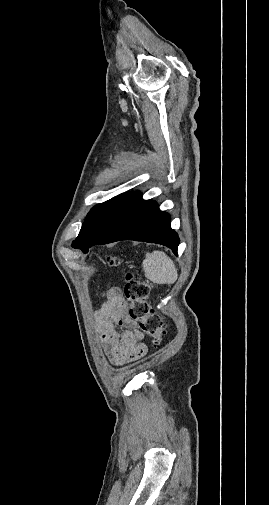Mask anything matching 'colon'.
Returning a JSON list of instances; mask_svg holds the SVG:
<instances>
[{"label":"colon","instance_id":"5ec220e1","mask_svg":"<svg viewBox=\"0 0 269 505\" xmlns=\"http://www.w3.org/2000/svg\"><path fill=\"white\" fill-rule=\"evenodd\" d=\"M111 266H118L120 260L116 257L108 259ZM151 283L132 274L126 277L124 295L130 302V317L136 321L142 333L148 336L154 346H158L164 336V322L161 315L153 310L148 302Z\"/></svg>","mask_w":269,"mask_h":505}]
</instances>
